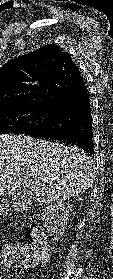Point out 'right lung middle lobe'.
<instances>
[{
  "label": "right lung middle lobe",
  "instance_id": "dd1d6c3e",
  "mask_svg": "<svg viewBox=\"0 0 113 279\" xmlns=\"http://www.w3.org/2000/svg\"><path fill=\"white\" fill-rule=\"evenodd\" d=\"M61 110L46 104L0 108V134H25L55 121Z\"/></svg>",
  "mask_w": 113,
  "mask_h": 279
}]
</instances>
